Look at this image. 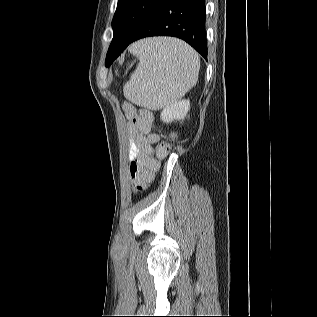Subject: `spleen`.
Segmentation results:
<instances>
[{"label": "spleen", "mask_w": 317, "mask_h": 317, "mask_svg": "<svg viewBox=\"0 0 317 317\" xmlns=\"http://www.w3.org/2000/svg\"><path fill=\"white\" fill-rule=\"evenodd\" d=\"M139 59L125 84L126 99L151 110L181 99L198 80L200 59L196 51L175 38H148L129 48Z\"/></svg>", "instance_id": "obj_1"}]
</instances>
